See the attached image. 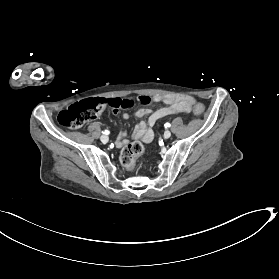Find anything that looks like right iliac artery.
<instances>
[{
  "label": "right iliac artery",
  "instance_id": "1",
  "mask_svg": "<svg viewBox=\"0 0 279 279\" xmlns=\"http://www.w3.org/2000/svg\"><path fill=\"white\" fill-rule=\"evenodd\" d=\"M102 133L103 134H109V131L108 130H104Z\"/></svg>",
  "mask_w": 279,
  "mask_h": 279
}]
</instances>
